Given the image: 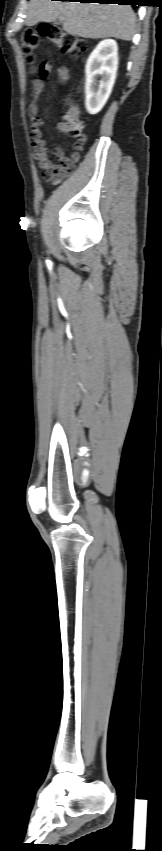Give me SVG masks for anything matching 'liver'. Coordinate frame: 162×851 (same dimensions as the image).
Returning a JSON list of instances; mask_svg holds the SVG:
<instances>
[{"mask_svg":"<svg viewBox=\"0 0 162 851\" xmlns=\"http://www.w3.org/2000/svg\"><path fill=\"white\" fill-rule=\"evenodd\" d=\"M58 18L64 31L83 38L129 41L134 35L135 14L129 5L30 0L25 24L34 26Z\"/></svg>","mask_w":162,"mask_h":851,"instance_id":"liver-1","label":"liver"}]
</instances>
